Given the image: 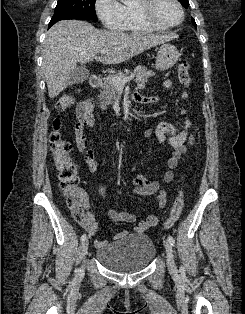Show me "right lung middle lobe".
I'll list each match as a JSON object with an SVG mask.
<instances>
[{
	"label": "right lung middle lobe",
	"mask_w": 245,
	"mask_h": 314,
	"mask_svg": "<svg viewBox=\"0 0 245 314\" xmlns=\"http://www.w3.org/2000/svg\"><path fill=\"white\" fill-rule=\"evenodd\" d=\"M96 0H58L51 23L64 19L97 20Z\"/></svg>",
	"instance_id": "dd1d6c3e"
}]
</instances>
